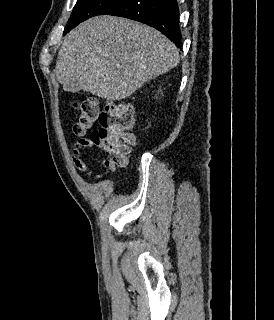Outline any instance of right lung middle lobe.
Listing matches in <instances>:
<instances>
[{
  "label": "right lung middle lobe",
  "mask_w": 274,
  "mask_h": 320,
  "mask_svg": "<svg viewBox=\"0 0 274 320\" xmlns=\"http://www.w3.org/2000/svg\"><path fill=\"white\" fill-rule=\"evenodd\" d=\"M118 0H77L73 12L64 30V35L79 23L90 17L100 15L106 8L115 4Z\"/></svg>",
  "instance_id": "right-lung-middle-lobe-1"
}]
</instances>
